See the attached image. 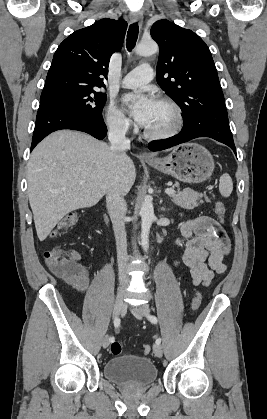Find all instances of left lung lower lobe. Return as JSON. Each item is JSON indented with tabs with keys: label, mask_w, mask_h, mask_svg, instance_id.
<instances>
[{
	"label": "left lung lower lobe",
	"mask_w": 267,
	"mask_h": 419,
	"mask_svg": "<svg viewBox=\"0 0 267 419\" xmlns=\"http://www.w3.org/2000/svg\"><path fill=\"white\" fill-rule=\"evenodd\" d=\"M198 137H210L229 146L236 154L227 111H210L184 123L182 131L170 138L149 143L151 151L164 150Z\"/></svg>",
	"instance_id": "obj_1"
}]
</instances>
